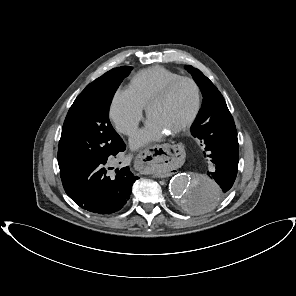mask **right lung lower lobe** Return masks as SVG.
Returning a JSON list of instances; mask_svg holds the SVG:
<instances>
[{"mask_svg": "<svg viewBox=\"0 0 296 296\" xmlns=\"http://www.w3.org/2000/svg\"><path fill=\"white\" fill-rule=\"evenodd\" d=\"M125 148L124 144L120 152ZM112 157H103L60 171L65 192L81 208L107 215L118 212L127 203L133 183L138 177L127 166L117 171L115 178H110L107 161Z\"/></svg>", "mask_w": 296, "mask_h": 296, "instance_id": "98d812e1", "label": "right lung lower lobe"}]
</instances>
